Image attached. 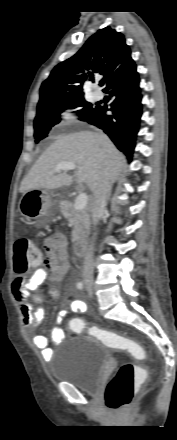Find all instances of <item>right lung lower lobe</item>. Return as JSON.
Segmentation results:
<instances>
[{
	"label": "right lung lower lobe",
	"mask_w": 177,
	"mask_h": 440,
	"mask_svg": "<svg viewBox=\"0 0 177 440\" xmlns=\"http://www.w3.org/2000/svg\"><path fill=\"white\" fill-rule=\"evenodd\" d=\"M136 65L110 83L105 91L111 108L96 106L82 120L102 129L129 160L132 159L142 115V95ZM110 110L112 115H107Z\"/></svg>",
	"instance_id": "98d812e1"
}]
</instances>
